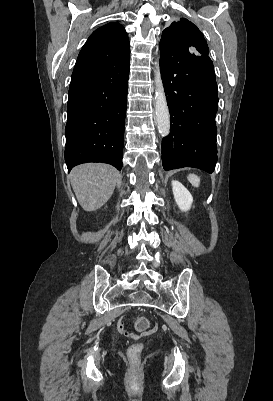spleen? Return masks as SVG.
Masks as SVG:
<instances>
[{"label": "spleen", "instance_id": "spleen-1", "mask_svg": "<svg viewBox=\"0 0 273 401\" xmlns=\"http://www.w3.org/2000/svg\"><path fill=\"white\" fill-rule=\"evenodd\" d=\"M187 178H188V180H190V182H191V184H193V186H199L200 176H197V174H188Z\"/></svg>", "mask_w": 273, "mask_h": 401}]
</instances>
